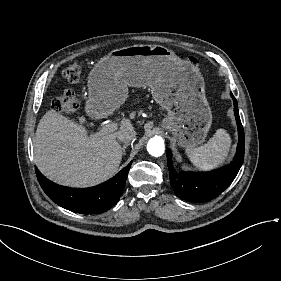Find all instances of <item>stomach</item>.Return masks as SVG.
I'll use <instances>...</instances> for the list:
<instances>
[{
  "label": "stomach",
  "mask_w": 281,
  "mask_h": 281,
  "mask_svg": "<svg viewBox=\"0 0 281 281\" xmlns=\"http://www.w3.org/2000/svg\"><path fill=\"white\" fill-rule=\"evenodd\" d=\"M128 86H150L154 100L167 111L164 128L179 146L202 144L212 126L205 80L190 60L161 45H132L112 50L88 75L86 114L100 120L117 110Z\"/></svg>",
  "instance_id": "0dacf381"
}]
</instances>
